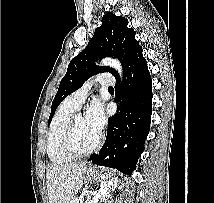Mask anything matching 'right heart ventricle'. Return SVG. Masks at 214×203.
Here are the masks:
<instances>
[{"label": "right heart ventricle", "instance_id": "e07e8e85", "mask_svg": "<svg viewBox=\"0 0 214 203\" xmlns=\"http://www.w3.org/2000/svg\"><path fill=\"white\" fill-rule=\"evenodd\" d=\"M76 110L68 103L66 98L51 121L47 134L46 151L50 161L56 165L66 164L72 159L63 152L62 139L65 129Z\"/></svg>", "mask_w": 214, "mask_h": 203}]
</instances>
